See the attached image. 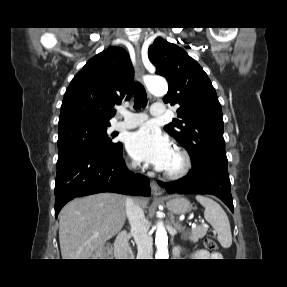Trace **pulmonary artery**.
<instances>
[{
  "label": "pulmonary artery",
  "mask_w": 287,
  "mask_h": 287,
  "mask_svg": "<svg viewBox=\"0 0 287 287\" xmlns=\"http://www.w3.org/2000/svg\"><path fill=\"white\" fill-rule=\"evenodd\" d=\"M165 108L163 104L155 103L150 108V114L152 116H163ZM123 120L116 123L117 129H132L143 123L148 119V115L145 113H125L121 112Z\"/></svg>",
  "instance_id": "1"
}]
</instances>
